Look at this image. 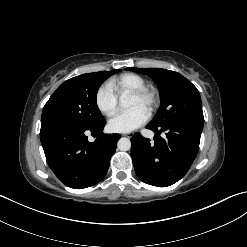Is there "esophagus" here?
<instances>
[{"label": "esophagus", "instance_id": "obj_1", "mask_svg": "<svg viewBox=\"0 0 247 247\" xmlns=\"http://www.w3.org/2000/svg\"><path fill=\"white\" fill-rule=\"evenodd\" d=\"M123 136H126V137H128V138H131V137H132L131 134H123Z\"/></svg>", "mask_w": 247, "mask_h": 247}]
</instances>
